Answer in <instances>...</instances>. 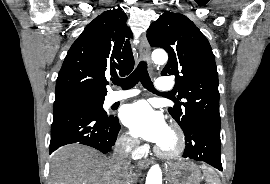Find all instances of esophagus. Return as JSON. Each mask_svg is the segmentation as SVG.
I'll use <instances>...</instances> for the list:
<instances>
[{
    "instance_id": "34e87169",
    "label": "esophagus",
    "mask_w": 270,
    "mask_h": 184,
    "mask_svg": "<svg viewBox=\"0 0 270 184\" xmlns=\"http://www.w3.org/2000/svg\"><path fill=\"white\" fill-rule=\"evenodd\" d=\"M139 51H140V58L149 63L151 51H150L148 40L145 35L141 37ZM150 164H151V160L149 159H144L139 162V165L141 168H147L150 166Z\"/></svg>"
}]
</instances>
